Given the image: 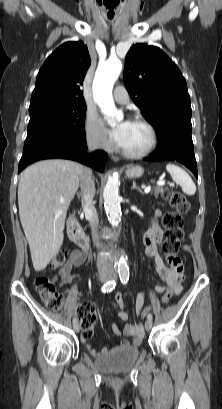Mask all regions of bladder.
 Returning a JSON list of instances; mask_svg holds the SVG:
<instances>
[{
	"label": "bladder",
	"instance_id": "bladder-1",
	"mask_svg": "<svg viewBox=\"0 0 222 409\" xmlns=\"http://www.w3.org/2000/svg\"><path fill=\"white\" fill-rule=\"evenodd\" d=\"M139 355V348L134 345L118 346L106 355L95 360V367L103 373H123L130 371Z\"/></svg>",
	"mask_w": 222,
	"mask_h": 409
}]
</instances>
